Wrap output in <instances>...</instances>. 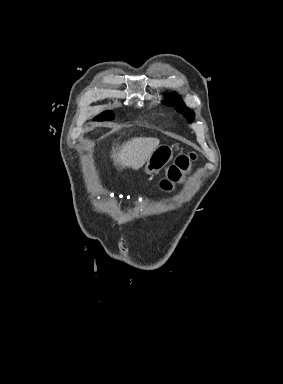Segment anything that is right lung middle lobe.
I'll use <instances>...</instances> for the list:
<instances>
[{
	"instance_id": "right-lung-middle-lobe-1",
	"label": "right lung middle lobe",
	"mask_w": 283,
	"mask_h": 384,
	"mask_svg": "<svg viewBox=\"0 0 283 384\" xmlns=\"http://www.w3.org/2000/svg\"><path fill=\"white\" fill-rule=\"evenodd\" d=\"M113 119V114L111 112H103L99 116L95 117V121H105Z\"/></svg>"
}]
</instances>
